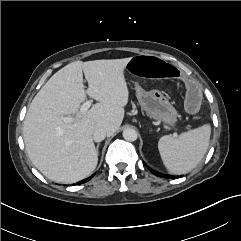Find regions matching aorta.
<instances>
[{"mask_svg":"<svg viewBox=\"0 0 241 241\" xmlns=\"http://www.w3.org/2000/svg\"><path fill=\"white\" fill-rule=\"evenodd\" d=\"M137 137H138V134L135 129L127 128L123 131V138L126 141L133 142V141L137 140Z\"/></svg>","mask_w":241,"mask_h":241,"instance_id":"obj_1","label":"aorta"}]
</instances>
